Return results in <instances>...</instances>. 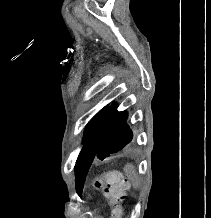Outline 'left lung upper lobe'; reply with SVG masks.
Instances as JSON below:
<instances>
[{
  "mask_svg": "<svg viewBox=\"0 0 211 218\" xmlns=\"http://www.w3.org/2000/svg\"><path fill=\"white\" fill-rule=\"evenodd\" d=\"M126 111H117V105L103 107L87 124L82 148L75 166L76 190L81 193L88 170L95 157L104 159L125 148L133 138L126 122Z\"/></svg>",
  "mask_w": 211,
  "mask_h": 218,
  "instance_id": "obj_1",
  "label": "left lung upper lobe"
}]
</instances>
